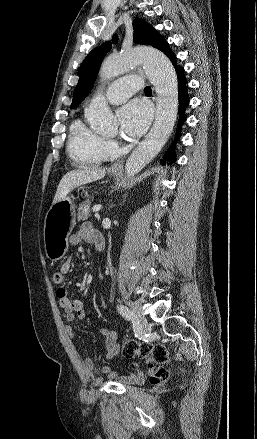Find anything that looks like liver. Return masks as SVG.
<instances>
[{
    "label": "liver",
    "instance_id": "1",
    "mask_svg": "<svg viewBox=\"0 0 257 439\" xmlns=\"http://www.w3.org/2000/svg\"><path fill=\"white\" fill-rule=\"evenodd\" d=\"M105 169L84 168L67 172L61 179L55 193L53 204L65 198L75 188L102 179Z\"/></svg>",
    "mask_w": 257,
    "mask_h": 439
}]
</instances>
